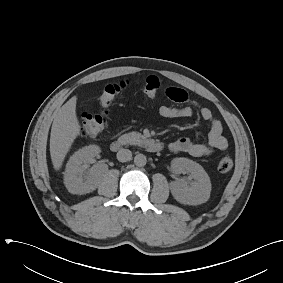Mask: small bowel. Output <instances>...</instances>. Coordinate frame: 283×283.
I'll use <instances>...</instances> for the list:
<instances>
[{
    "label": "small bowel",
    "mask_w": 283,
    "mask_h": 283,
    "mask_svg": "<svg viewBox=\"0 0 283 283\" xmlns=\"http://www.w3.org/2000/svg\"><path fill=\"white\" fill-rule=\"evenodd\" d=\"M167 97L178 103L189 101L188 94L185 90L178 87H168L166 89ZM194 110L191 106L170 107L161 106L159 115L163 118L191 117ZM201 117L210 122V131L206 142H194L187 137H181L169 145V150L174 153H187L193 157L209 156L215 151H223L228 147V142L222 134V124L216 119L209 108L200 109Z\"/></svg>",
    "instance_id": "small-bowel-1"
}]
</instances>
